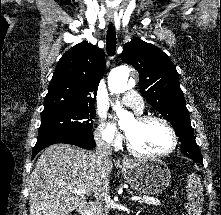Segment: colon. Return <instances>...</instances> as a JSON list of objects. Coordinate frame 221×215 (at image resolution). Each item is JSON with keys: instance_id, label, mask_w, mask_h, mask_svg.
Returning a JSON list of instances; mask_svg holds the SVG:
<instances>
[{"instance_id": "obj_1", "label": "colon", "mask_w": 221, "mask_h": 215, "mask_svg": "<svg viewBox=\"0 0 221 215\" xmlns=\"http://www.w3.org/2000/svg\"><path fill=\"white\" fill-rule=\"evenodd\" d=\"M187 202L183 215H201L203 210V188L197 173H191L186 179Z\"/></svg>"}]
</instances>
